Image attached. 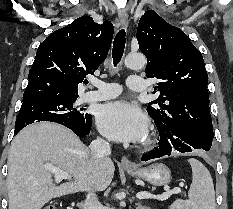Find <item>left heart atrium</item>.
Wrapping results in <instances>:
<instances>
[{
    "label": "left heart atrium",
    "mask_w": 233,
    "mask_h": 209,
    "mask_svg": "<svg viewBox=\"0 0 233 209\" xmlns=\"http://www.w3.org/2000/svg\"><path fill=\"white\" fill-rule=\"evenodd\" d=\"M99 130L117 141H140L147 133V118L142 110L123 100L99 107L96 115Z\"/></svg>",
    "instance_id": "1"
}]
</instances>
